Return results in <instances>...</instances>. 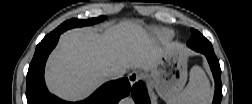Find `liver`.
<instances>
[{
    "instance_id": "6515ba94",
    "label": "liver",
    "mask_w": 252,
    "mask_h": 104,
    "mask_svg": "<svg viewBox=\"0 0 252 104\" xmlns=\"http://www.w3.org/2000/svg\"><path fill=\"white\" fill-rule=\"evenodd\" d=\"M165 48L179 45L162 47L141 25L131 21L108 26L102 33L92 27L69 30L61 35L48 60L46 84L63 99H83L107 80V70L150 71Z\"/></svg>"
}]
</instances>
